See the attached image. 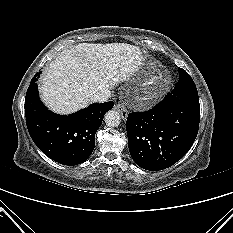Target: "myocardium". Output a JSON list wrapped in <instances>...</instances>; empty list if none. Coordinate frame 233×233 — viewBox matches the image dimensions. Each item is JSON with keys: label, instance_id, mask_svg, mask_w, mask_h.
I'll return each mask as SVG.
<instances>
[{"label": "myocardium", "instance_id": "f54148a6", "mask_svg": "<svg viewBox=\"0 0 233 233\" xmlns=\"http://www.w3.org/2000/svg\"><path fill=\"white\" fill-rule=\"evenodd\" d=\"M163 81L159 78V77H153L147 84L146 88H145V96L144 99L146 101H152L154 99H156L162 89H163Z\"/></svg>", "mask_w": 233, "mask_h": 233}]
</instances>
